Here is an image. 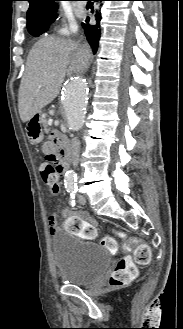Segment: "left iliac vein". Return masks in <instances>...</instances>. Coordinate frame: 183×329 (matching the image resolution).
<instances>
[{"label":"left iliac vein","mask_w":183,"mask_h":329,"mask_svg":"<svg viewBox=\"0 0 183 329\" xmlns=\"http://www.w3.org/2000/svg\"><path fill=\"white\" fill-rule=\"evenodd\" d=\"M78 203L81 204V205H84L86 203V199L83 195H80L78 197Z\"/></svg>","instance_id":"4c4485c4"}]
</instances>
